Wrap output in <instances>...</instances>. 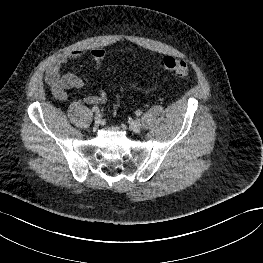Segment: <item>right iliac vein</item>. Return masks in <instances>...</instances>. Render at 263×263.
<instances>
[{
  "label": "right iliac vein",
  "mask_w": 263,
  "mask_h": 263,
  "mask_svg": "<svg viewBox=\"0 0 263 263\" xmlns=\"http://www.w3.org/2000/svg\"><path fill=\"white\" fill-rule=\"evenodd\" d=\"M94 120H95V124L99 125L102 120V115L99 112H97L94 116Z\"/></svg>",
  "instance_id": "obj_1"
}]
</instances>
